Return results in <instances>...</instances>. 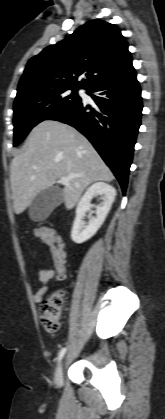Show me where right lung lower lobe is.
<instances>
[{"instance_id":"1","label":"right lung lower lobe","mask_w":165,"mask_h":419,"mask_svg":"<svg viewBox=\"0 0 165 419\" xmlns=\"http://www.w3.org/2000/svg\"><path fill=\"white\" fill-rule=\"evenodd\" d=\"M87 91L95 109L80 100L46 120L66 123L85 135L125 192L142 112L141 89L132 62Z\"/></svg>"}]
</instances>
